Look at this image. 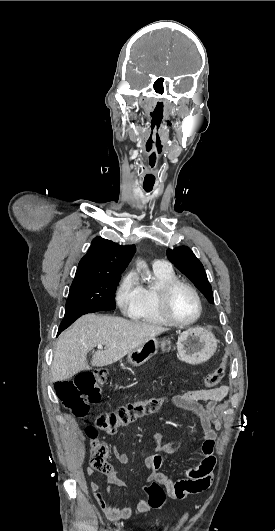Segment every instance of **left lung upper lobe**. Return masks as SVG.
<instances>
[{"instance_id":"obj_1","label":"left lung upper lobe","mask_w":275,"mask_h":531,"mask_svg":"<svg viewBox=\"0 0 275 531\" xmlns=\"http://www.w3.org/2000/svg\"><path fill=\"white\" fill-rule=\"evenodd\" d=\"M167 256L176 268L186 275L204 294L208 302L214 303L213 293L202 263L187 246L168 249Z\"/></svg>"}]
</instances>
